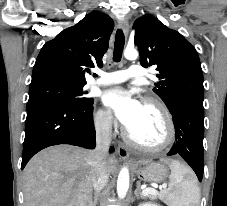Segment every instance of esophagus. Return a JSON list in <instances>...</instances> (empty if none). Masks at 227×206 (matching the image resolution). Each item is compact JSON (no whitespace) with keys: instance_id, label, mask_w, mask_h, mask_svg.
Returning a JSON list of instances; mask_svg holds the SVG:
<instances>
[{"instance_id":"1","label":"esophagus","mask_w":227,"mask_h":206,"mask_svg":"<svg viewBox=\"0 0 227 206\" xmlns=\"http://www.w3.org/2000/svg\"><path fill=\"white\" fill-rule=\"evenodd\" d=\"M119 27L123 30L125 36L128 35L129 32V22L127 19H122L119 22ZM118 155L120 156L121 159L127 160L129 158V152L125 148V146L122 143L118 144Z\"/></svg>"}]
</instances>
